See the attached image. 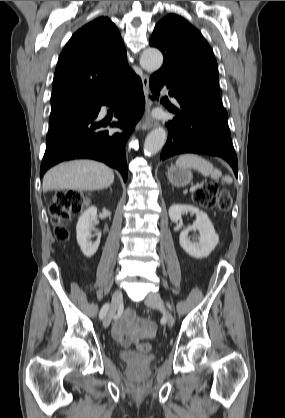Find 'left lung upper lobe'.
<instances>
[{"label":"left lung upper lobe","mask_w":285,"mask_h":418,"mask_svg":"<svg viewBox=\"0 0 285 418\" xmlns=\"http://www.w3.org/2000/svg\"><path fill=\"white\" fill-rule=\"evenodd\" d=\"M150 45L164 56L163 66L154 74L168 77L188 93L222 104L215 56L195 27L169 14L156 24Z\"/></svg>","instance_id":"left-lung-upper-lobe-1"}]
</instances>
